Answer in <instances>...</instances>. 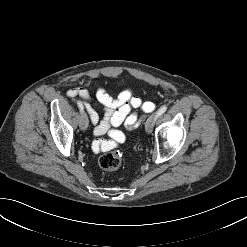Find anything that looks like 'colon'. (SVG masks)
<instances>
[{"label": "colon", "instance_id": "1", "mask_svg": "<svg viewBox=\"0 0 247 247\" xmlns=\"http://www.w3.org/2000/svg\"><path fill=\"white\" fill-rule=\"evenodd\" d=\"M114 140H120L121 134H115ZM113 147L112 142H107L100 146V149H104V151L111 149ZM99 166L101 169L105 171H115L121 165V156L118 152H106L102 154L99 158Z\"/></svg>", "mask_w": 247, "mask_h": 247}]
</instances>
